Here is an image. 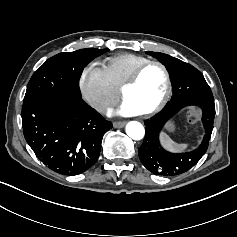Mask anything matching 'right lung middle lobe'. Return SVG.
Here are the masks:
<instances>
[{
  "instance_id": "right-lung-middle-lobe-1",
  "label": "right lung middle lobe",
  "mask_w": 237,
  "mask_h": 237,
  "mask_svg": "<svg viewBox=\"0 0 237 237\" xmlns=\"http://www.w3.org/2000/svg\"><path fill=\"white\" fill-rule=\"evenodd\" d=\"M108 49H81L59 53L33 74L23 100V107L40 100L61 95L81 96L79 79L83 68Z\"/></svg>"
}]
</instances>
